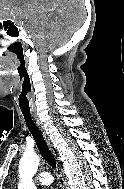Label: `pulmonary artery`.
<instances>
[{
	"label": "pulmonary artery",
	"instance_id": "1",
	"mask_svg": "<svg viewBox=\"0 0 124 189\" xmlns=\"http://www.w3.org/2000/svg\"><path fill=\"white\" fill-rule=\"evenodd\" d=\"M36 181L42 185H49L53 182V176L48 172H42L37 175Z\"/></svg>",
	"mask_w": 124,
	"mask_h": 189
}]
</instances>
